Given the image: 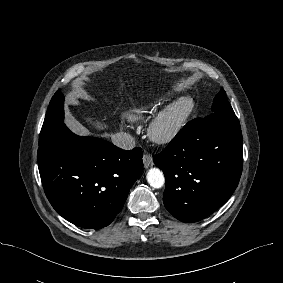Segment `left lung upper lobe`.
<instances>
[{
    "label": "left lung upper lobe",
    "instance_id": "5c2ea615",
    "mask_svg": "<svg viewBox=\"0 0 283 283\" xmlns=\"http://www.w3.org/2000/svg\"><path fill=\"white\" fill-rule=\"evenodd\" d=\"M212 112H234L230 103L228 102L224 89H221V91L214 98Z\"/></svg>",
    "mask_w": 283,
    "mask_h": 283
}]
</instances>
